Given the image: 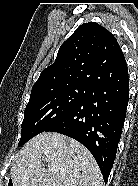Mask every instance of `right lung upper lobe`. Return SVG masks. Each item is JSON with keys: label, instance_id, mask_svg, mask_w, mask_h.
I'll use <instances>...</instances> for the list:
<instances>
[{"label": "right lung upper lobe", "instance_id": "1", "mask_svg": "<svg viewBox=\"0 0 138 186\" xmlns=\"http://www.w3.org/2000/svg\"><path fill=\"white\" fill-rule=\"evenodd\" d=\"M126 81L127 65L116 38L99 24L88 22L61 45L55 62L41 72L31 94L69 85L92 88Z\"/></svg>", "mask_w": 138, "mask_h": 186}]
</instances>
